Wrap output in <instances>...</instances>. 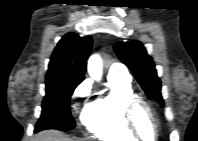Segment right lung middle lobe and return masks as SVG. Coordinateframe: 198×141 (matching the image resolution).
Here are the masks:
<instances>
[{
	"mask_svg": "<svg viewBox=\"0 0 198 141\" xmlns=\"http://www.w3.org/2000/svg\"><path fill=\"white\" fill-rule=\"evenodd\" d=\"M82 80H46V95L42 104L41 117L35 132L44 129L72 130L75 121L70 113L69 100L74 89Z\"/></svg>",
	"mask_w": 198,
	"mask_h": 141,
	"instance_id": "obj_1",
	"label": "right lung middle lobe"
}]
</instances>
